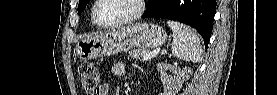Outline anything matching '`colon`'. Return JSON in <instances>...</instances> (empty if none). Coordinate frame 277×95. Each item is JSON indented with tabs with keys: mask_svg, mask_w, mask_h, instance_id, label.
<instances>
[{
	"mask_svg": "<svg viewBox=\"0 0 277 95\" xmlns=\"http://www.w3.org/2000/svg\"><path fill=\"white\" fill-rule=\"evenodd\" d=\"M83 90L88 95L96 94L99 87V71L94 63H83L78 67Z\"/></svg>",
	"mask_w": 277,
	"mask_h": 95,
	"instance_id": "1",
	"label": "colon"
}]
</instances>
